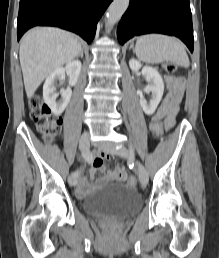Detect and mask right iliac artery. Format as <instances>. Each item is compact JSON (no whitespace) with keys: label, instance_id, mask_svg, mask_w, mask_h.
<instances>
[{"label":"right iliac artery","instance_id":"1","mask_svg":"<svg viewBox=\"0 0 219 258\" xmlns=\"http://www.w3.org/2000/svg\"><path fill=\"white\" fill-rule=\"evenodd\" d=\"M82 156H83V158H84L87 162H90V160H91V155H90L89 152H87V151L82 152ZM72 175L76 177V176H78V172H74Z\"/></svg>","mask_w":219,"mask_h":258}]
</instances>
